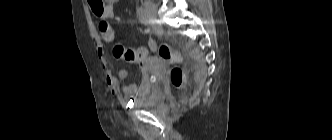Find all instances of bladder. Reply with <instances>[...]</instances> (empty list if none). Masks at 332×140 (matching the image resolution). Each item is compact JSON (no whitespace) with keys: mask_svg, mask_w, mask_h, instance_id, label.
<instances>
[{"mask_svg":"<svg viewBox=\"0 0 332 140\" xmlns=\"http://www.w3.org/2000/svg\"><path fill=\"white\" fill-rule=\"evenodd\" d=\"M163 99H164V93L160 89L155 88L146 96L138 99L136 101V104L143 107H152L160 103Z\"/></svg>","mask_w":332,"mask_h":140,"instance_id":"1","label":"bladder"}]
</instances>
